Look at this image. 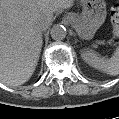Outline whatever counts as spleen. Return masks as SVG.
Wrapping results in <instances>:
<instances>
[{
  "label": "spleen",
  "mask_w": 119,
  "mask_h": 119,
  "mask_svg": "<svg viewBox=\"0 0 119 119\" xmlns=\"http://www.w3.org/2000/svg\"><path fill=\"white\" fill-rule=\"evenodd\" d=\"M81 56L88 65L105 74L111 76L119 74V46L110 59L100 57L90 50L84 51Z\"/></svg>",
  "instance_id": "3e777b00"
}]
</instances>
